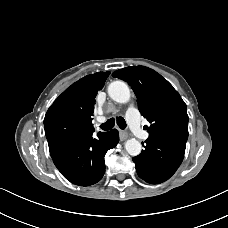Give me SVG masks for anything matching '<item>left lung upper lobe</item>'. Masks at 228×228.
Listing matches in <instances>:
<instances>
[{"instance_id":"1","label":"left lung upper lobe","mask_w":228,"mask_h":228,"mask_svg":"<svg viewBox=\"0 0 228 228\" xmlns=\"http://www.w3.org/2000/svg\"><path fill=\"white\" fill-rule=\"evenodd\" d=\"M112 76L132 87L139 111L151 124L147 127L149 136L165 135L186 143L187 106L166 79L145 66L126 67L115 71Z\"/></svg>"}]
</instances>
